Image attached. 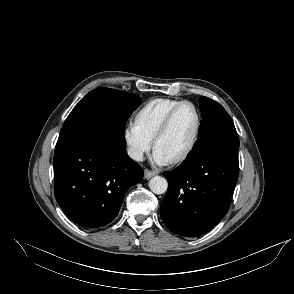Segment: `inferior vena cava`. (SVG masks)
<instances>
[{"instance_id":"602c4592","label":"inferior vena cava","mask_w":294,"mask_h":294,"mask_svg":"<svg viewBox=\"0 0 294 294\" xmlns=\"http://www.w3.org/2000/svg\"><path fill=\"white\" fill-rule=\"evenodd\" d=\"M128 155L130 158H132L136 161H143V152L139 149H136L134 147H130L128 149Z\"/></svg>"}]
</instances>
